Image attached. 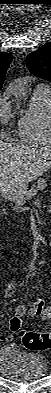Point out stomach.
Listing matches in <instances>:
<instances>
[{
    "label": "stomach",
    "mask_w": 51,
    "mask_h": 393,
    "mask_svg": "<svg viewBox=\"0 0 51 393\" xmlns=\"http://www.w3.org/2000/svg\"><path fill=\"white\" fill-rule=\"evenodd\" d=\"M27 191V188L24 189H17L15 192L13 193H9V199L11 200H17L19 197L23 196Z\"/></svg>",
    "instance_id": "0dacf381"
}]
</instances>
